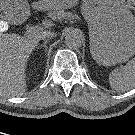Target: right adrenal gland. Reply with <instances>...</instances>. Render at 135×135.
Segmentation results:
<instances>
[{
  "instance_id": "1",
  "label": "right adrenal gland",
  "mask_w": 135,
  "mask_h": 135,
  "mask_svg": "<svg viewBox=\"0 0 135 135\" xmlns=\"http://www.w3.org/2000/svg\"><path fill=\"white\" fill-rule=\"evenodd\" d=\"M49 41H50V39L45 40L43 44H41V45L38 46V48H39V47H44V48H45V51H47V43H48Z\"/></svg>"
}]
</instances>
